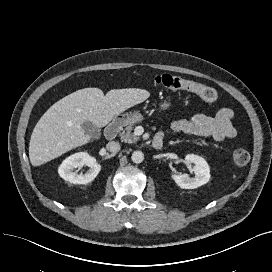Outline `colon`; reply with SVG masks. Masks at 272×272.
<instances>
[{
    "instance_id": "obj_1",
    "label": "colon",
    "mask_w": 272,
    "mask_h": 272,
    "mask_svg": "<svg viewBox=\"0 0 272 272\" xmlns=\"http://www.w3.org/2000/svg\"><path fill=\"white\" fill-rule=\"evenodd\" d=\"M155 84L170 92L187 91L194 93L205 102L217 100V92L214 88L194 81L182 79L169 74L159 75L155 78ZM250 160V154L245 149H237L233 153V162L237 167H244Z\"/></svg>"
}]
</instances>
